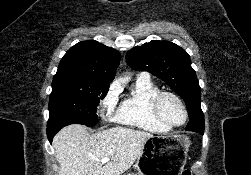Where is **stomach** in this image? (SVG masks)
Listing matches in <instances>:
<instances>
[{"label":"stomach","mask_w":251,"mask_h":175,"mask_svg":"<svg viewBox=\"0 0 251 175\" xmlns=\"http://www.w3.org/2000/svg\"><path fill=\"white\" fill-rule=\"evenodd\" d=\"M191 141L186 135H153L146 139L129 175H181Z\"/></svg>","instance_id":"1"}]
</instances>
